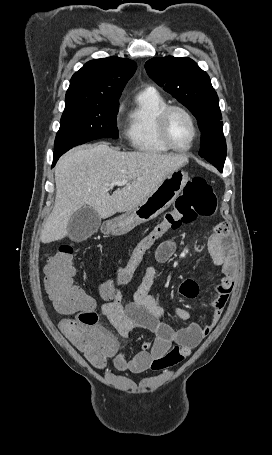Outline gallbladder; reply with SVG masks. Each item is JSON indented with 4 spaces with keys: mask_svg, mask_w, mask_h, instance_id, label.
I'll return each mask as SVG.
<instances>
[{
    "mask_svg": "<svg viewBox=\"0 0 272 455\" xmlns=\"http://www.w3.org/2000/svg\"><path fill=\"white\" fill-rule=\"evenodd\" d=\"M101 225L99 214L89 206L74 213L68 224V236L73 241H83L93 235Z\"/></svg>",
    "mask_w": 272,
    "mask_h": 455,
    "instance_id": "1",
    "label": "gallbladder"
}]
</instances>
